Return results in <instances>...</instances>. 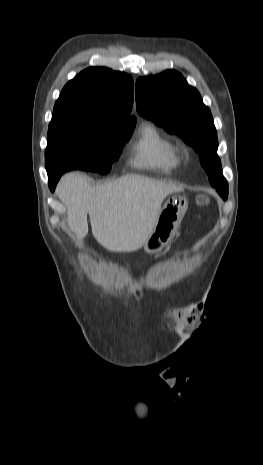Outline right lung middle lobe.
Returning <instances> with one entry per match:
<instances>
[{
    "mask_svg": "<svg viewBox=\"0 0 263 465\" xmlns=\"http://www.w3.org/2000/svg\"><path fill=\"white\" fill-rule=\"evenodd\" d=\"M135 124L136 119L83 110L53 111L45 151L48 175L71 169L108 173Z\"/></svg>",
    "mask_w": 263,
    "mask_h": 465,
    "instance_id": "dd1d6c3e",
    "label": "right lung middle lobe"
}]
</instances>
